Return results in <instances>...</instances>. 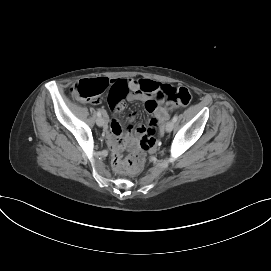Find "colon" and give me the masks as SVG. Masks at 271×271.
<instances>
[{"mask_svg":"<svg viewBox=\"0 0 271 271\" xmlns=\"http://www.w3.org/2000/svg\"><path fill=\"white\" fill-rule=\"evenodd\" d=\"M109 84V81L105 78L85 79L74 84L71 92L78 99L95 101L107 89ZM143 89L148 90V86L144 85ZM156 97L166 100L171 105L179 106H186L192 100V95L187 88L172 87L170 85L163 87ZM156 126L157 121L151 120L149 130L141 139L139 148L134 149L125 157H122L119 153L114 154L112 164L116 171L136 173L142 169L146 160V152L156 144L153 136Z\"/></svg>","mask_w":271,"mask_h":271,"instance_id":"obj_1","label":"colon"}]
</instances>
